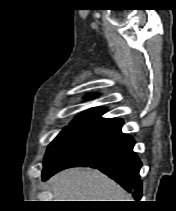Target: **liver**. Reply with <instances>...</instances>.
Segmentation results:
<instances>
[{
    "label": "liver",
    "mask_w": 176,
    "mask_h": 211,
    "mask_svg": "<svg viewBox=\"0 0 176 211\" xmlns=\"http://www.w3.org/2000/svg\"><path fill=\"white\" fill-rule=\"evenodd\" d=\"M55 201H131V196L98 170L72 168L50 179Z\"/></svg>",
    "instance_id": "1"
}]
</instances>
